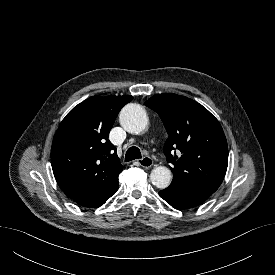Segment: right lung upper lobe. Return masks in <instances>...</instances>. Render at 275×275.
<instances>
[{"label": "right lung upper lobe", "instance_id": "cb5924a9", "mask_svg": "<svg viewBox=\"0 0 275 275\" xmlns=\"http://www.w3.org/2000/svg\"><path fill=\"white\" fill-rule=\"evenodd\" d=\"M132 96H92L62 120L52 142L51 164L59 187L71 199L111 188L122 171L108 135Z\"/></svg>", "mask_w": 275, "mask_h": 275}]
</instances>
